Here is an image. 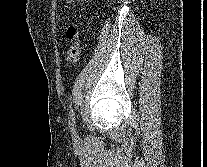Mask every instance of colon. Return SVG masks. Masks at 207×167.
I'll return each instance as SVG.
<instances>
[{
    "label": "colon",
    "mask_w": 207,
    "mask_h": 167,
    "mask_svg": "<svg viewBox=\"0 0 207 167\" xmlns=\"http://www.w3.org/2000/svg\"><path fill=\"white\" fill-rule=\"evenodd\" d=\"M67 37L71 41V45L67 51V61L70 64H75L79 60L81 54V46L79 42L80 32L77 25H71L67 29Z\"/></svg>",
    "instance_id": "5ec220e1"
}]
</instances>
